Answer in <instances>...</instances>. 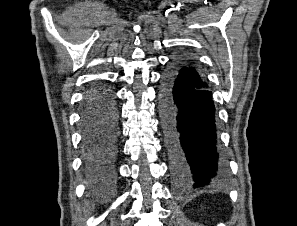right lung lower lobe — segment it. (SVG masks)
<instances>
[{
  "mask_svg": "<svg viewBox=\"0 0 297 226\" xmlns=\"http://www.w3.org/2000/svg\"><path fill=\"white\" fill-rule=\"evenodd\" d=\"M84 174L91 186L115 176L118 109L113 90L104 83L90 86L81 107Z\"/></svg>",
  "mask_w": 297,
  "mask_h": 226,
  "instance_id": "obj_1",
  "label": "right lung lower lobe"
}]
</instances>
